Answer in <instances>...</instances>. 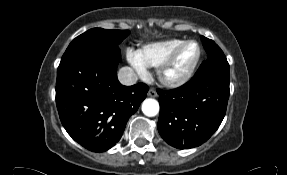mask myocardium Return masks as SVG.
I'll use <instances>...</instances> for the list:
<instances>
[{
	"instance_id": "myocardium-1",
	"label": "myocardium",
	"mask_w": 287,
	"mask_h": 175,
	"mask_svg": "<svg viewBox=\"0 0 287 175\" xmlns=\"http://www.w3.org/2000/svg\"><path fill=\"white\" fill-rule=\"evenodd\" d=\"M195 44L197 46V56L193 62V64L190 66L188 70H186L183 74L171 77L169 76V71L171 70L173 64L175 63L179 53L181 50L187 46L188 44ZM202 57V48L200 44L195 40H186L182 42L179 46H177L172 53L165 59V61L159 66L158 68V77L159 80L167 87L176 88L183 86L186 84L194 75L196 72L199 63L201 61Z\"/></svg>"
}]
</instances>
